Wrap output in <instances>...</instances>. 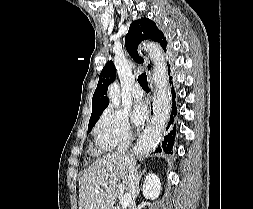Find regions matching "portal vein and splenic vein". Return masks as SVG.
Returning a JSON list of instances; mask_svg holds the SVG:
<instances>
[{"label":"portal vein and splenic vein","mask_w":253,"mask_h":209,"mask_svg":"<svg viewBox=\"0 0 253 209\" xmlns=\"http://www.w3.org/2000/svg\"><path fill=\"white\" fill-rule=\"evenodd\" d=\"M119 189H122V187L119 186ZM96 192H99V190H96ZM131 201H132L131 195L129 193H125L121 200L122 208L126 209L131 204Z\"/></svg>","instance_id":"portal-vein-and-splenic-vein-1"}]
</instances>
